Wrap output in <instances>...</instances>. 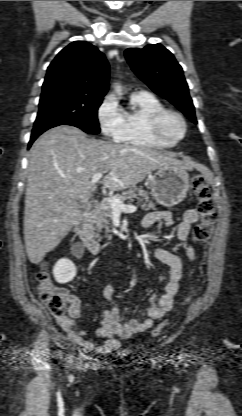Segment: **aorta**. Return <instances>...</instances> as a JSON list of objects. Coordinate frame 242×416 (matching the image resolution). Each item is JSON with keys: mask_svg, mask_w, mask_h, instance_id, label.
Returning <instances> with one entry per match:
<instances>
[{"mask_svg": "<svg viewBox=\"0 0 242 416\" xmlns=\"http://www.w3.org/2000/svg\"><path fill=\"white\" fill-rule=\"evenodd\" d=\"M115 90H116V92H120V91H121V87H120V86H118V85H116V86H115Z\"/></svg>", "mask_w": 242, "mask_h": 416, "instance_id": "762f6f07", "label": "aorta"}]
</instances>
